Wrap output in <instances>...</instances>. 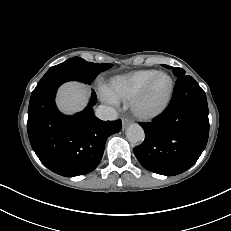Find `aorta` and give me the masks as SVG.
<instances>
[{
  "instance_id": "aorta-1",
  "label": "aorta",
  "mask_w": 231,
  "mask_h": 231,
  "mask_svg": "<svg viewBox=\"0 0 231 231\" xmlns=\"http://www.w3.org/2000/svg\"><path fill=\"white\" fill-rule=\"evenodd\" d=\"M127 139L132 143H140L145 138L144 130L138 124H132L126 131Z\"/></svg>"
}]
</instances>
